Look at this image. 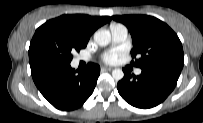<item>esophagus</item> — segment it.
<instances>
[{
    "label": "esophagus",
    "mask_w": 203,
    "mask_h": 123,
    "mask_svg": "<svg viewBox=\"0 0 203 123\" xmlns=\"http://www.w3.org/2000/svg\"><path fill=\"white\" fill-rule=\"evenodd\" d=\"M102 70L103 71H111V70H113V68L112 67H102Z\"/></svg>",
    "instance_id": "obj_1"
}]
</instances>
